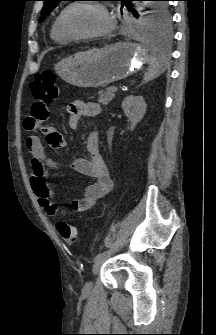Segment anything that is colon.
<instances>
[{
	"instance_id": "1",
	"label": "colon",
	"mask_w": 216,
	"mask_h": 335,
	"mask_svg": "<svg viewBox=\"0 0 216 335\" xmlns=\"http://www.w3.org/2000/svg\"><path fill=\"white\" fill-rule=\"evenodd\" d=\"M30 91L36 99L35 104H38L37 100L39 98H43L45 100L44 104L49 108L51 103L58 97V88L55 85V75L49 70L37 74L30 84ZM56 229L62 239L67 243L72 244L79 239L77 228L68 221H59L56 224Z\"/></svg>"
}]
</instances>
